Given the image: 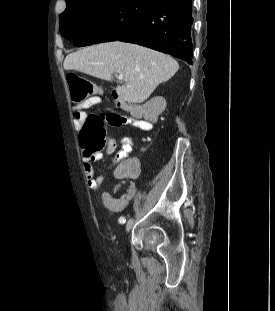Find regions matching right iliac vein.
I'll use <instances>...</instances> for the list:
<instances>
[{
  "label": "right iliac vein",
  "instance_id": "obj_1",
  "mask_svg": "<svg viewBox=\"0 0 275 311\" xmlns=\"http://www.w3.org/2000/svg\"><path fill=\"white\" fill-rule=\"evenodd\" d=\"M133 224H134V220L133 219H129L126 223V231L129 232L132 227H133Z\"/></svg>",
  "mask_w": 275,
  "mask_h": 311
}]
</instances>
